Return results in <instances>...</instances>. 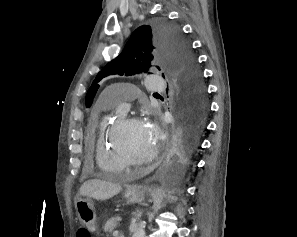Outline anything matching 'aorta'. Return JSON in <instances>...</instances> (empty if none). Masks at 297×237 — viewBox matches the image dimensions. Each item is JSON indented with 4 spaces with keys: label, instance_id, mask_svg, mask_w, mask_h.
Wrapping results in <instances>:
<instances>
[{
    "label": "aorta",
    "instance_id": "1",
    "mask_svg": "<svg viewBox=\"0 0 297 237\" xmlns=\"http://www.w3.org/2000/svg\"><path fill=\"white\" fill-rule=\"evenodd\" d=\"M132 237H145V222H141Z\"/></svg>",
    "mask_w": 297,
    "mask_h": 237
}]
</instances>
